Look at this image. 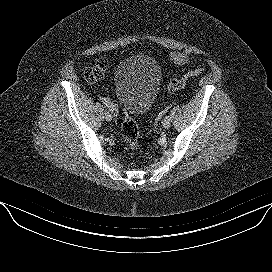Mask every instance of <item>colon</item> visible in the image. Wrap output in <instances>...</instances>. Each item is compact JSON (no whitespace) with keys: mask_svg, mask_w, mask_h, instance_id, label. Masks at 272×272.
Wrapping results in <instances>:
<instances>
[{"mask_svg":"<svg viewBox=\"0 0 272 272\" xmlns=\"http://www.w3.org/2000/svg\"><path fill=\"white\" fill-rule=\"evenodd\" d=\"M109 66L108 60L106 58H101L97 61L96 65L87 69L84 72L85 79L94 83L102 78ZM204 69L197 68L186 72L180 78L173 79L167 85V91L169 93L175 92L178 89L183 88L187 81L191 78L199 76ZM121 132L125 143L127 144L129 150L132 152H138L141 149V142L139 139V129L136 122L128 115H124L122 122Z\"/></svg>","mask_w":272,"mask_h":272,"instance_id":"colon-1","label":"colon"}]
</instances>
